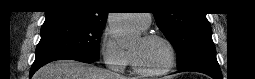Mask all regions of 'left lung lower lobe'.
Returning <instances> with one entry per match:
<instances>
[{
  "instance_id": "1",
  "label": "left lung lower lobe",
  "mask_w": 255,
  "mask_h": 79,
  "mask_svg": "<svg viewBox=\"0 0 255 79\" xmlns=\"http://www.w3.org/2000/svg\"><path fill=\"white\" fill-rule=\"evenodd\" d=\"M180 72L195 71L209 75L213 79H222L221 71L217 60H206L189 64L179 68Z\"/></svg>"
}]
</instances>
